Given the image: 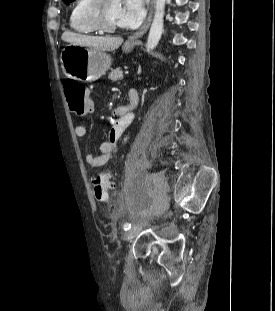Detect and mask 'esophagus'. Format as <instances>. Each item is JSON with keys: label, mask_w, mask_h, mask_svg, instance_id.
Returning a JSON list of instances; mask_svg holds the SVG:
<instances>
[{"label": "esophagus", "mask_w": 275, "mask_h": 311, "mask_svg": "<svg viewBox=\"0 0 275 311\" xmlns=\"http://www.w3.org/2000/svg\"><path fill=\"white\" fill-rule=\"evenodd\" d=\"M154 6H155V0H152L147 20L145 21V23L142 25V27L134 35H132L128 38V40H127L128 44L129 43L130 44L136 43L138 41V39L140 37H142L147 32V30L149 29V26L151 24V21H152Z\"/></svg>", "instance_id": "34e87169"}]
</instances>
